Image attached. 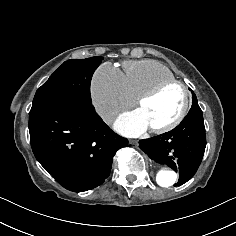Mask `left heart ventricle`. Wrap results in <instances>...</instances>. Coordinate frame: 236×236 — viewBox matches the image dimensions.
<instances>
[{
  "label": "left heart ventricle",
  "mask_w": 236,
  "mask_h": 236,
  "mask_svg": "<svg viewBox=\"0 0 236 236\" xmlns=\"http://www.w3.org/2000/svg\"><path fill=\"white\" fill-rule=\"evenodd\" d=\"M184 95L180 87L174 85L166 88L153 99L139 107L149 128L162 127L180 114Z\"/></svg>",
  "instance_id": "obj_1"
}]
</instances>
